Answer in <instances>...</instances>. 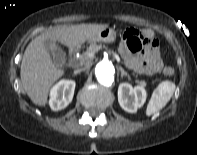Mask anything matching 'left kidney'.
Here are the masks:
<instances>
[{
  "instance_id": "obj_1",
  "label": "left kidney",
  "mask_w": 197,
  "mask_h": 155,
  "mask_svg": "<svg viewBox=\"0 0 197 155\" xmlns=\"http://www.w3.org/2000/svg\"><path fill=\"white\" fill-rule=\"evenodd\" d=\"M146 90L142 86L132 87L129 83H121L118 87V102L129 113H135L146 101Z\"/></svg>"
}]
</instances>
